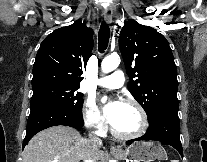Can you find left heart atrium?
Segmentation results:
<instances>
[{
  "instance_id": "left-heart-atrium-1",
  "label": "left heart atrium",
  "mask_w": 207,
  "mask_h": 162,
  "mask_svg": "<svg viewBox=\"0 0 207 162\" xmlns=\"http://www.w3.org/2000/svg\"><path fill=\"white\" fill-rule=\"evenodd\" d=\"M120 104V102H113L111 105L104 108V115L106 120L111 124L114 117H115V111L117 106Z\"/></svg>"
}]
</instances>
